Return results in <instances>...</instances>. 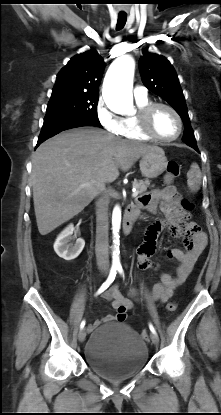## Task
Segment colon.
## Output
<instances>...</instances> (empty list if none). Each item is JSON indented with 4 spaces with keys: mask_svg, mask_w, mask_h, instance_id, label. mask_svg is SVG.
<instances>
[{
    "mask_svg": "<svg viewBox=\"0 0 221 415\" xmlns=\"http://www.w3.org/2000/svg\"><path fill=\"white\" fill-rule=\"evenodd\" d=\"M180 174V165L176 161H169L166 166V175H165V181L167 183L172 182L175 178H177ZM181 201L184 203V207H188V210L191 211L194 207L191 201L184 198ZM177 309V303L176 302H169L166 305V310L168 312H174ZM142 336L144 338L148 337V333L146 331L142 332Z\"/></svg>",
    "mask_w": 221,
    "mask_h": 415,
    "instance_id": "1",
    "label": "colon"
}]
</instances>
